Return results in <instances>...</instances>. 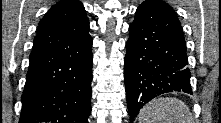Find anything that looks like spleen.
<instances>
[{"mask_svg":"<svg viewBox=\"0 0 221 123\" xmlns=\"http://www.w3.org/2000/svg\"><path fill=\"white\" fill-rule=\"evenodd\" d=\"M139 123H192L188 106L172 97L150 101L139 112Z\"/></svg>","mask_w":221,"mask_h":123,"instance_id":"obj_1","label":"spleen"}]
</instances>
